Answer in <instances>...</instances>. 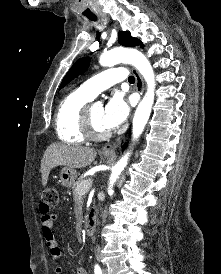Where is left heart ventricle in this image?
Segmentation results:
<instances>
[{"mask_svg": "<svg viewBox=\"0 0 221 274\" xmlns=\"http://www.w3.org/2000/svg\"><path fill=\"white\" fill-rule=\"evenodd\" d=\"M103 106L102 105H92L91 107V116H92V120L93 123L95 124V126L101 130V131H107L102 123H101V119H102V115H103Z\"/></svg>", "mask_w": 221, "mask_h": 274, "instance_id": "left-heart-ventricle-1", "label": "left heart ventricle"}]
</instances>
